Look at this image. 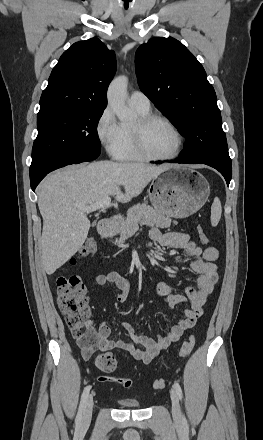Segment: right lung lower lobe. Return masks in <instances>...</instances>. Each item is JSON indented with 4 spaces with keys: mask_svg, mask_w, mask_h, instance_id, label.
<instances>
[{
    "mask_svg": "<svg viewBox=\"0 0 263 440\" xmlns=\"http://www.w3.org/2000/svg\"><path fill=\"white\" fill-rule=\"evenodd\" d=\"M99 154H100V147H94V148L87 149V150L84 151L83 159L80 160L79 163L94 160V159H96L99 156ZM70 164H74V163L66 162L65 160L58 161V162L54 163L46 171L42 172L41 174H39V175H37V176H35L33 178H30L32 190L35 191V188L37 187V185L40 183V181L48 173H50L51 171L56 170L58 168L64 167L66 165H70Z\"/></svg>",
    "mask_w": 263,
    "mask_h": 440,
    "instance_id": "98d812e1",
    "label": "right lung lower lobe"
}]
</instances>
